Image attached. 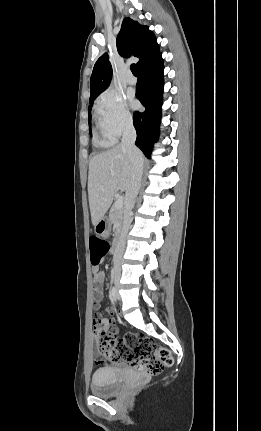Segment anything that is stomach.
Instances as JSON below:
<instances>
[{
    "mask_svg": "<svg viewBox=\"0 0 261 431\" xmlns=\"http://www.w3.org/2000/svg\"><path fill=\"white\" fill-rule=\"evenodd\" d=\"M94 231L97 235L101 237H107L111 231V223L109 219L103 217L97 224L94 226Z\"/></svg>",
    "mask_w": 261,
    "mask_h": 431,
    "instance_id": "1",
    "label": "stomach"
}]
</instances>
